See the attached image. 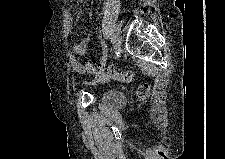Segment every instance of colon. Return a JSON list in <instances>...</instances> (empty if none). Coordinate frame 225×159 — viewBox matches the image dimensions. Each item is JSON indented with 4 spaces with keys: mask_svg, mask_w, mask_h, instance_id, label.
Segmentation results:
<instances>
[{
    "mask_svg": "<svg viewBox=\"0 0 225 159\" xmlns=\"http://www.w3.org/2000/svg\"><path fill=\"white\" fill-rule=\"evenodd\" d=\"M86 70L91 74L99 76L100 81L106 82L109 80H115L121 83H131L134 80L133 72H123L119 69L112 67H104L94 62L86 63ZM149 93L148 84H142L137 90V98L141 101L145 100Z\"/></svg>",
    "mask_w": 225,
    "mask_h": 159,
    "instance_id": "colon-1",
    "label": "colon"
}]
</instances>
